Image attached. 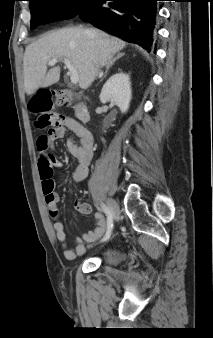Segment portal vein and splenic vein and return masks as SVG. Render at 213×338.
<instances>
[{"label":"portal vein and splenic vein","instance_id":"obj_1","mask_svg":"<svg viewBox=\"0 0 213 338\" xmlns=\"http://www.w3.org/2000/svg\"><path fill=\"white\" fill-rule=\"evenodd\" d=\"M57 63V59H52L48 62L49 66H54ZM64 63L69 69L71 83L77 84L79 81V74L77 70L73 67L72 63L68 59H64Z\"/></svg>","mask_w":213,"mask_h":338}]
</instances>
